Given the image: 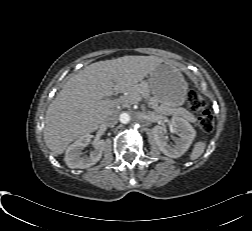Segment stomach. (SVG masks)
<instances>
[{"label":"stomach","instance_id":"0dacf381","mask_svg":"<svg viewBox=\"0 0 252 231\" xmlns=\"http://www.w3.org/2000/svg\"><path fill=\"white\" fill-rule=\"evenodd\" d=\"M148 86L155 102L163 108L178 107L185 102L188 84L179 69L166 61L149 73Z\"/></svg>","mask_w":252,"mask_h":231}]
</instances>
